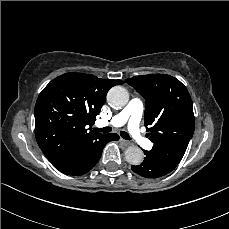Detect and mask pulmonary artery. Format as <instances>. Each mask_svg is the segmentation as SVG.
<instances>
[{
    "label": "pulmonary artery",
    "instance_id": "obj_1",
    "mask_svg": "<svg viewBox=\"0 0 229 229\" xmlns=\"http://www.w3.org/2000/svg\"><path fill=\"white\" fill-rule=\"evenodd\" d=\"M144 112V105L140 99H133L126 105L113 119L108 122L105 120H98L96 122L97 127L123 126L127 124V129L132 135L134 141L138 142L139 146L146 149H151L152 143L147 138L143 137L140 132V124Z\"/></svg>",
    "mask_w": 229,
    "mask_h": 229
}]
</instances>
